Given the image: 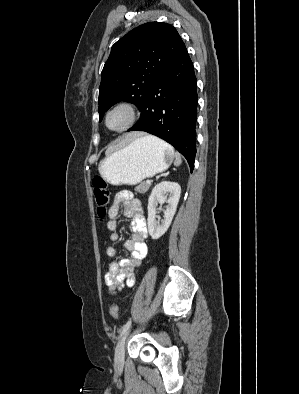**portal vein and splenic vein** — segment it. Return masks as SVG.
<instances>
[{"label":"portal vein and splenic vein","instance_id":"obj_1","mask_svg":"<svg viewBox=\"0 0 299 394\" xmlns=\"http://www.w3.org/2000/svg\"><path fill=\"white\" fill-rule=\"evenodd\" d=\"M151 182H152V181H151L150 179L146 180V183H147V184H151Z\"/></svg>","mask_w":299,"mask_h":394}]
</instances>
